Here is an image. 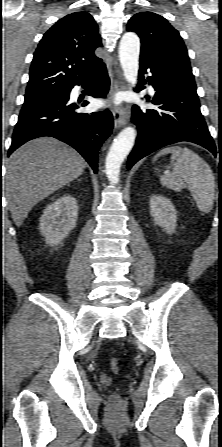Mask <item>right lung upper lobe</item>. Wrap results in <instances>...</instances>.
Returning <instances> with one entry per match:
<instances>
[{
	"mask_svg": "<svg viewBox=\"0 0 222 447\" xmlns=\"http://www.w3.org/2000/svg\"><path fill=\"white\" fill-rule=\"evenodd\" d=\"M102 47L98 26L87 12L56 22L43 36L31 63L25 96L67 92L86 80L103 62L94 51Z\"/></svg>",
	"mask_w": 222,
	"mask_h": 447,
	"instance_id": "right-lung-upper-lobe-1",
	"label": "right lung upper lobe"
}]
</instances>
